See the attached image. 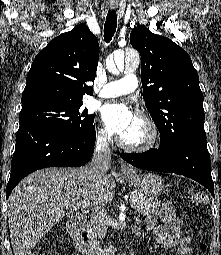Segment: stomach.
<instances>
[{
  "mask_svg": "<svg viewBox=\"0 0 221 255\" xmlns=\"http://www.w3.org/2000/svg\"><path fill=\"white\" fill-rule=\"evenodd\" d=\"M127 181L138 189L140 193L151 198L159 196L165 188L163 179L154 173L126 175Z\"/></svg>",
  "mask_w": 221,
  "mask_h": 255,
  "instance_id": "1",
  "label": "stomach"
}]
</instances>
